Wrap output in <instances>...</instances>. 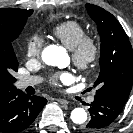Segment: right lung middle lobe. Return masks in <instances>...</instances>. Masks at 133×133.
I'll return each mask as SVG.
<instances>
[{"mask_svg":"<svg viewBox=\"0 0 133 133\" xmlns=\"http://www.w3.org/2000/svg\"><path fill=\"white\" fill-rule=\"evenodd\" d=\"M32 12H21L12 23H0V91L9 92L15 89L16 79L13 73L18 70V61L12 42L24 28L27 18Z\"/></svg>","mask_w":133,"mask_h":133,"instance_id":"right-lung-middle-lobe-1","label":"right lung middle lobe"}]
</instances>
